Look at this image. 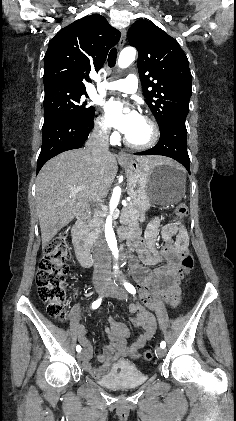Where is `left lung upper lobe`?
Returning a JSON list of instances; mask_svg holds the SVG:
<instances>
[{
  "label": "left lung upper lobe",
  "mask_w": 236,
  "mask_h": 421,
  "mask_svg": "<svg viewBox=\"0 0 236 421\" xmlns=\"http://www.w3.org/2000/svg\"><path fill=\"white\" fill-rule=\"evenodd\" d=\"M128 41L138 50V72L145 101L159 128L176 114H188L192 75L178 42L148 20L128 30Z\"/></svg>",
  "instance_id": "left-lung-upper-lobe-1"
}]
</instances>
